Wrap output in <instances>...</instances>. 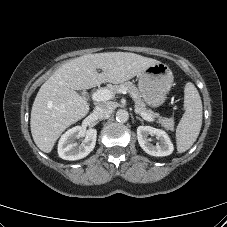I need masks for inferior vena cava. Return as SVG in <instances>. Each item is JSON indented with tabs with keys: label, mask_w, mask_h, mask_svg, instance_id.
Wrapping results in <instances>:
<instances>
[{
	"label": "inferior vena cava",
	"mask_w": 227,
	"mask_h": 227,
	"mask_svg": "<svg viewBox=\"0 0 227 227\" xmlns=\"http://www.w3.org/2000/svg\"><path fill=\"white\" fill-rule=\"evenodd\" d=\"M113 111H114V106L111 102L100 103L94 109V113L99 119L109 118L113 113Z\"/></svg>",
	"instance_id": "inferior-vena-cava-1"
}]
</instances>
